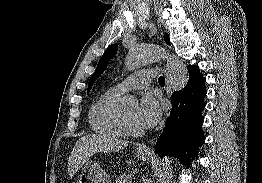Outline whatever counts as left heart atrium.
I'll return each instance as SVG.
<instances>
[{
  "instance_id": "1",
  "label": "left heart atrium",
  "mask_w": 262,
  "mask_h": 183,
  "mask_svg": "<svg viewBox=\"0 0 262 183\" xmlns=\"http://www.w3.org/2000/svg\"><path fill=\"white\" fill-rule=\"evenodd\" d=\"M161 108L158 101L150 94L141 98L137 114V122L143 129L153 128L160 120Z\"/></svg>"
}]
</instances>
